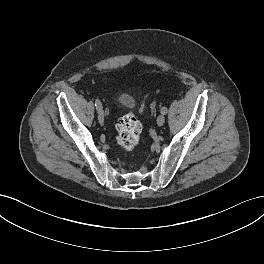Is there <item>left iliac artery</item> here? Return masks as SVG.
<instances>
[{
    "label": "left iliac artery",
    "instance_id": "1",
    "mask_svg": "<svg viewBox=\"0 0 264 264\" xmlns=\"http://www.w3.org/2000/svg\"><path fill=\"white\" fill-rule=\"evenodd\" d=\"M167 112H168L167 107H162V108H161V113H162V114L165 115V114H167Z\"/></svg>",
    "mask_w": 264,
    "mask_h": 264
}]
</instances>
